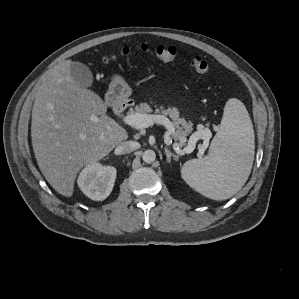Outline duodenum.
<instances>
[{
  "instance_id": "1",
  "label": "duodenum",
  "mask_w": 299,
  "mask_h": 299,
  "mask_svg": "<svg viewBox=\"0 0 299 299\" xmlns=\"http://www.w3.org/2000/svg\"><path fill=\"white\" fill-rule=\"evenodd\" d=\"M115 111L117 113H121L123 112L125 109H127L129 107V103L127 100H121V101H117L114 105H113Z\"/></svg>"
}]
</instances>
